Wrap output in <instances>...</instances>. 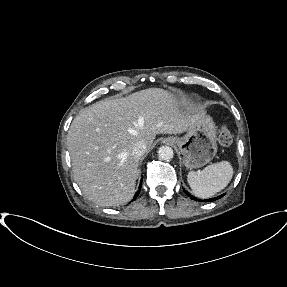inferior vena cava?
<instances>
[{
    "instance_id": "inferior-vena-cava-1",
    "label": "inferior vena cava",
    "mask_w": 287,
    "mask_h": 287,
    "mask_svg": "<svg viewBox=\"0 0 287 287\" xmlns=\"http://www.w3.org/2000/svg\"><path fill=\"white\" fill-rule=\"evenodd\" d=\"M146 152V145L144 142L140 141L134 145L132 148V155L136 158H140Z\"/></svg>"
}]
</instances>
